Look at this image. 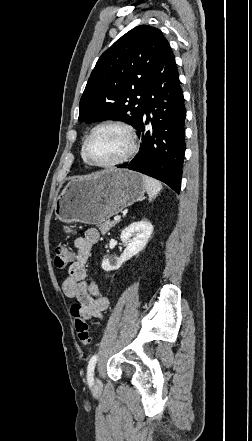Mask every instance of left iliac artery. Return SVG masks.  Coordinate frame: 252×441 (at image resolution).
I'll return each mask as SVG.
<instances>
[{
	"instance_id": "1",
	"label": "left iliac artery",
	"mask_w": 252,
	"mask_h": 441,
	"mask_svg": "<svg viewBox=\"0 0 252 441\" xmlns=\"http://www.w3.org/2000/svg\"><path fill=\"white\" fill-rule=\"evenodd\" d=\"M96 362H97V355L95 354L91 357L87 367V380L89 384L93 383V375H94Z\"/></svg>"
}]
</instances>
